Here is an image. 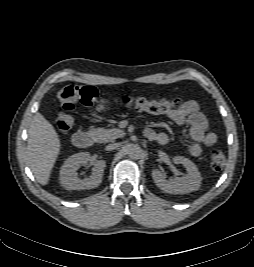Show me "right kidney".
<instances>
[{"instance_id": "ca27d5eb", "label": "right kidney", "mask_w": 254, "mask_h": 267, "mask_svg": "<svg viewBox=\"0 0 254 267\" xmlns=\"http://www.w3.org/2000/svg\"><path fill=\"white\" fill-rule=\"evenodd\" d=\"M90 161L88 152L76 153L65 160L60 170V183L67 190L93 189L100 185L103 178L106 162L99 160L94 163L92 174L88 178L79 179L77 169L87 165Z\"/></svg>"}]
</instances>
